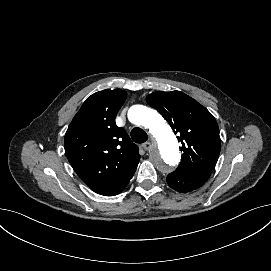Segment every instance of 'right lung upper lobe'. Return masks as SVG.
Segmentation results:
<instances>
[{
	"mask_svg": "<svg viewBox=\"0 0 271 271\" xmlns=\"http://www.w3.org/2000/svg\"><path fill=\"white\" fill-rule=\"evenodd\" d=\"M127 93L103 90L91 95L74 116L64 138L65 152L78 176L107 195L133 176L140 154L115 117Z\"/></svg>",
	"mask_w": 271,
	"mask_h": 271,
	"instance_id": "cb5924a9",
	"label": "right lung upper lobe"
}]
</instances>
